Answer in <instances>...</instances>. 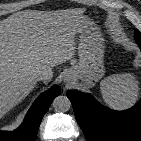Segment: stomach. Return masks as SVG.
Here are the masks:
<instances>
[{
  "instance_id": "0dacf381",
  "label": "stomach",
  "mask_w": 141,
  "mask_h": 141,
  "mask_svg": "<svg viewBox=\"0 0 141 141\" xmlns=\"http://www.w3.org/2000/svg\"><path fill=\"white\" fill-rule=\"evenodd\" d=\"M78 34L79 61L69 69L68 74H72L75 80H80L84 87L91 88L105 72L103 38L97 27L90 21Z\"/></svg>"
}]
</instances>
